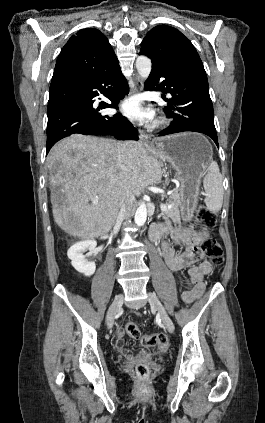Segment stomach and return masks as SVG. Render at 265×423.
I'll return each instance as SVG.
<instances>
[{"instance_id": "stomach-1", "label": "stomach", "mask_w": 265, "mask_h": 423, "mask_svg": "<svg viewBox=\"0 0 265 423\" xmlns=\"http://www.w3.org/2000/svg\"><path fill=\"white\" fill-rule=\"evenodd\" d=\"M150 152L162 161L170 162L180 181L181 217L192 220L198 201L200 180L213 156L209 141L198 133H180L159 139Z\"/></svg>"}]
</instances>
